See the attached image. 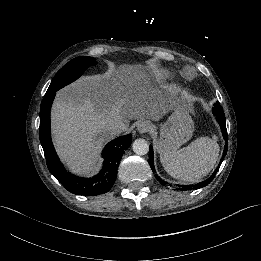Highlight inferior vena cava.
I'll list each match as a JSON object with an SVG mask.
<instances>
[{
  "label": "inferior vena cava",
  "mask_w": 261,
  "mask_h": 261,
  "mask_svg": "<svg viewBox=\"0 0 261 261\" xmlns=\"http://www.w3.org/2000/svg\"><path fill=\"white\" fill-rule=\"evenodd\" d=\"M127 128V125L122 119H116L108 125V130L113 134L123 132Z\"/></svg>",
  "instance_id": "1"
}]
</instances>
